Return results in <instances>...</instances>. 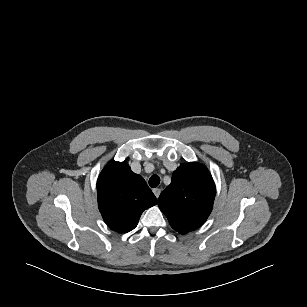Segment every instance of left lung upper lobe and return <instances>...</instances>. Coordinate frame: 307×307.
<instances>
[{"label": "left lung upper lobe", "instance_id": "obj_1", "mask_svg": "<svg viewBox=\"0 0 307 307\" xmlns=\"http://www.w3.org/2000/svg\"><path fill=\"white\" fill-rule=\"evenodd\" d=\"M215 184L208 169L197 162L181 164L158 205L171 227L181 234L199 228L207 220L215 198Z\"/></svg>", "mask_w": 307, "mask_h": 307}]
</instances>
